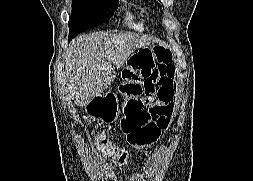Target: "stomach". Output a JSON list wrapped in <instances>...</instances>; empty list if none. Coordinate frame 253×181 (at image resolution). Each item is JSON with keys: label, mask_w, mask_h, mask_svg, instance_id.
<instances>
[{"label": "stomach", "mask_w": 253, "mask_h": 181, "mask_svg": "<svg viewBox=\"0 0 253 181\" xmlns=\"http://www.w3.org/2000/svg\"><path fill=\"white\" fill-rule=\"evenodd\" d=\"M111 97L113 100L111 101ZM86 113L92 118L104 122H112L118 115V102L115 94L108 92L104 96H97L85 106Z\"/></svg>", "instance_id": "stomach-1"}]
</instances>
